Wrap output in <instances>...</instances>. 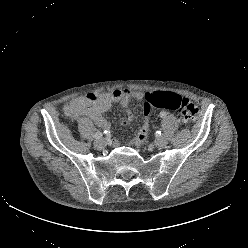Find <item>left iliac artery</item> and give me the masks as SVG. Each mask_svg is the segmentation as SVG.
I'll list each match as a JSON object with an SVG mask.
<instances>
[{
    "mask_svg": "<svg viewBox=\"0 0 248 248\" xmlns=\"http://www.w3.org/2000/svg\"><path fill=\"white\" fill-rule=\"evenodd\" d=\"M165 116H166V113H165V112H161V113H160V117L163 118V117H165ZM157 133L161 135V131H157Z\"/></svg>",
    "mask_w": 248,
    "mask_h": 248,
    "instance_id": "1",
    "label": "left iliac artery"
}]
</instances>
